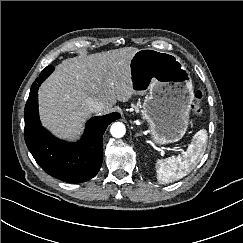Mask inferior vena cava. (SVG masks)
<instances>
[{"instance_id":"602c4592","label":"inferior vena cava","mask_w":243,"mask_h":243,"mask_svg":"<svg viewBox=\"0 0 243 243\" xmlns=\"http://www.w3.org/2000/svg\"><path fill=\"white\" fill-rule=\"evenodd\" d=\"M89 111L92 113H100L105 109V104L97 99L88 98L86 100Z\"/></svg>"}]
</instances>
